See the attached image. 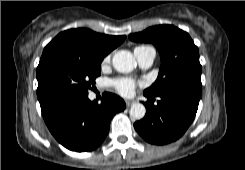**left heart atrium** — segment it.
Masks as SVG:
<instances>
[{
	"label": "left heart atrium",
	"instance_id": "39dd6f15",
	"mask_svg": "<svg viewBox=\"0 0 245 170\" xmlns=\"http://www.w3.org/2000/svg\"><path fill=\"white\" fill-rule=\"evenodd\" d=\"M116 90L123 96H130L134 92L136 83L129 78H122L113 80Z\"/></svg>",
	"mask_w": 245,
	"mask_h": 170
}]
</instances>
